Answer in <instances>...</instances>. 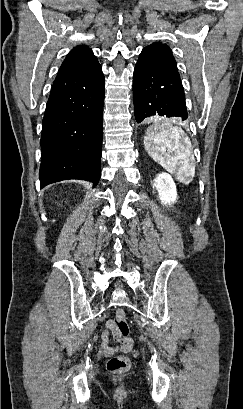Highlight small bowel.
<instances>
[{"label":"small bowel","instance_id":"1","mask_svg":"<svg viewBox=\"0 0 243 409\" xmlns=\"http://www.w3.org/2000/svg\"><path fill=\"white\" fill-rule=\"evenodd\" d=\"M113 327H114L113 320H108L105 324V330L103 331L101 336V352L104 355H111L117 352L121 351L126 352L130 350V348L124 344L117 345L110 344V333L113 334ZM113 337L115 340H119L114 336V334Z\"/></svg>","mask_w":243,"mask_h":409}]
</instances>
